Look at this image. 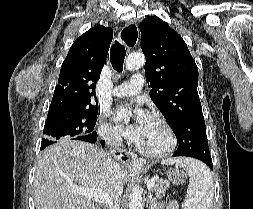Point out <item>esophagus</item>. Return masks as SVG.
Wrapping results in <instances>:
<instances>
[{
	"label": "esophagus",
	"instance_id": "esophagus-1",
	"mask_svg": "<svg viewBox=\"0 0 253 209\" xmlns=\"http://www.w3.org/2000/svg\"><path fill=\"white\" fill-rule=\"evenodd\" d=\"M119 38L125 43L128 49L134 47L138 41L139 31L135 21H126L124 27L119 32ZM117 157L130 165L135 166L142 164V161L135 158L134 155L125 150H118Z\"/></svg>",
	"mask_w": 253,
	"mask_h": 209
}]
</instances>
